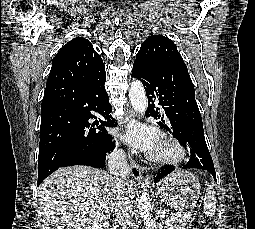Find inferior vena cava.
<instances>
[{
    "label": "inferior vena cava",
    "mask_w": 255,
    "mask_h": 229,
    "mask_svg": "<svg viewBox=\"0 0 255 229\" xmlns=\"http://www.w3.org/2000/svg\"><path fill=\"white\" fill-rule=\"evenodd\" d=\"M108 168L116 179L115 214L116 221L126 229L129 218L132 214L130 196L126 189L130 168L126 160L124 150L115 149L108 157Z\"/></svg>",
    "instance_id": "1"
}]
</instances>
